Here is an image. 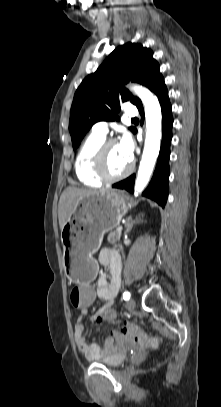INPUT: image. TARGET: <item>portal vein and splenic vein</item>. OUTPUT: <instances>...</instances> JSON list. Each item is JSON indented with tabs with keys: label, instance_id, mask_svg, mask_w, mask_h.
<instances>
[{
	"label": "portal vein and splenic vein",
	"instance_id": "1",
	"mask_svg": "<svg viewBox=\"0 0 221 407\" xmlns=\"http://www.w3.org/2000/svg\"><path fill=\"white\" fill-rule=\"evenodd\" d=\"M122 229H123L122 227H118V228H117V231L121 232Z\"/></svg>",
	"mask_w": 221,
	"mask_h": 407
}]
</instances>
